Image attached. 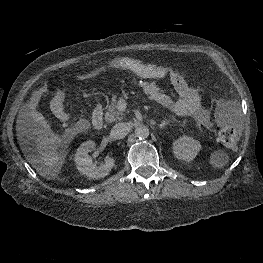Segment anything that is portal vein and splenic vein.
Wrapping results in <instances>:
<instances>
[{
  "mask_svg": "<svg viewBox=\"0 0 263 263\" xmlns=\"http://www.w3.org/2000/svg\"><path fill=\"white\" fill-rule=\"evenodd\" d=\"M126 108H127L126 102L124 100H119L118 101V110L120 112H124L126 110Z\"/></svg>",
  "mask_w": 263,
  "mask_h": 263,
  "instance_id": "obj_1",
  "label": "portal vein and splenic vein"
}]
</instances>
